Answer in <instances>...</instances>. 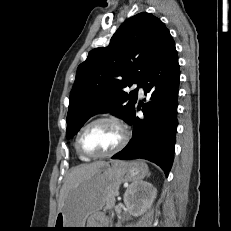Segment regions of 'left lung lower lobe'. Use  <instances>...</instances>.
<instances>
[{"label":"left lung lower lobe","mask_w":231,"mask_h":231,"mask_svg":"<svg viewBox=\"0 0 231 231\" xmlns=\"http://www.w3.org/2000/svg\"><path fill=\"white\" fill-rule=\"evenodd\" d=\"M180 78L175 43L167 34L161 49L141 78L150 101L143 104L144 119L134 109L128 123L133 136L127 146L112 159H146L160 166L166 176L171 169L177 122V98ZM139 108V106H138Z\"/></svg>","instance_id":"left-lung-lower-lobe-1"}]
</instances>
